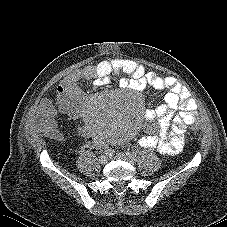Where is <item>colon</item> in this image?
I'll list each match as a JSON object with an SVG mask.
<instances>
[{
	"label": "colon",
	"mask_w": 227,
	"mask_h": 227,
	"mask_svg": "<svg viewBox=\"0 0 227 227\" xmlns=\"http://www.w3.org/2000/svg\"><path fill=\"white\" fill-rule=\"evenodd\" d=\"M49 133L51 136H53L55 138L58 137V133L52 128H50ZM199 139H200V136L195 131H188L186 133V144L188 146H195L197 144V142L199 141Z\"/></svg>",
	"instance_id": "colon-1"
}]
</instances>
